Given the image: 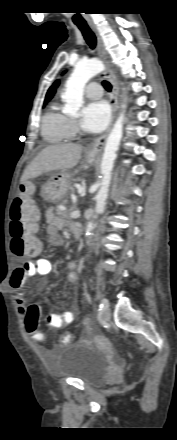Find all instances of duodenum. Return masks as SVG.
<instances>
[{"mask_svg": "<svg viewBox=\"0 0 177 440\" xmlns=\"http://www.w3.org/2000/svg\"><path fill=\"white\" fill-rule=\"evenodd\" d=\"M72 234L74 238L79 241L83 236V229L80 225L72 226Z\"/></svg>", "mask_w": 177, "mask_h": 440, "instance_id": "410a0bca", "label": "duodenum"}]
</instances>
